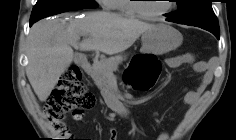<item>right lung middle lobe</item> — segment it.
Instances as JSON below:
<instances>
[{"label":"right lung middle lobe","mask_w":236,"mask_h":140,"mask_svg":"<svg viewBox=\"0 0 236 140\" xmlns=\"http://www.w3.org/2000/svg\"><path fill=\"white\" fill-rule=\"evenodd\" d=\"M96 7L98 4L94 0H38L32 10L30 22L67 11Z\"/></svg>","instance_id":"dd1d6c3e"}]
</instances>
